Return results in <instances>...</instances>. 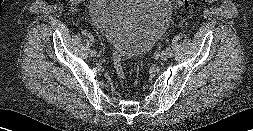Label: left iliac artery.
Listing matches in <instances>:
<instances>
[{
    "label": "left iliac artery",
    "instance_id": "left-iliac-artery-1",
    "mask_svg": "<svg viewBox=\"0 0 253 131\" xmlns=\"http://www.w3.org/2000/svg\"><path fill=\"white\" fill-rule=\"evenodd\" d=\"M162 52L170 53L172 51V47L170 45H167L166 47L161 48Z\"/></svg>",
    "mask_w": 253,
    "mask_h": 131
}]
</instances>
